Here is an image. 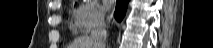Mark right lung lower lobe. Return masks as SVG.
Listing matches in <instances>:
<instances>
[{
	"label": "right lung lower lobe",
	"instance_id": "right-lung-lower-lobe-1",
	"mask_svg": "<svg viewBox=\"0 0 213 48\" xmlns=\"http://www.w3.org/2000/svg\"><path fill=\"white\" fill-rule=\"evenodd\" d=\"M128 1L129 0H117V6L114 16L118 21H121L122 18L124 17Z\"/></svg>",
	"mask_w": 213,
	"mask_h": 48
}]
</instances>
